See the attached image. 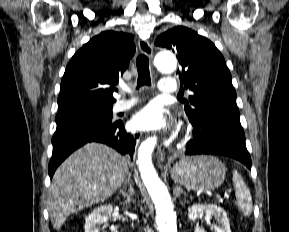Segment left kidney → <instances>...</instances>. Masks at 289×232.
I'll return each instance as SVG.
<instances>
[{"mask_svg": "<svg viewBox=\"0 0 289 232\" xmlns=\"http://www.w3.org/2000/svg\"><path fill=\"white\" fill-rule=\"evenodd\" d=\"M202 214H205L207 218L215 217L217 225L212 226L214 232H231L227 214L220 206L215 204H193L188 209V216L192 221H195ZM194 232L205 231L196 224Z\"/></svg>", "mask_w": 289, "mask_h": 232, "instance_id": "obj_1", "label": "left kidney"}]
</instances>
